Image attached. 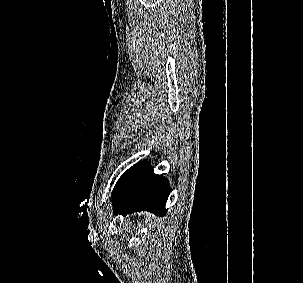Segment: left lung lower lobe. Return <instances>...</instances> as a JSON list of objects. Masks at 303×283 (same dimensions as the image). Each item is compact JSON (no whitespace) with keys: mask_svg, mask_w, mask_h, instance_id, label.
Here are the masks:
<instances>
[{"mask_svg":"<svg viewBox=\"0 0 303 283\" xmlns=\"http://www.w3.org/2000/svg\"><path fill=\"white\" fill-rule=\"evenodd\" d=\"M169 193L167 179L154 174L153 167L141 161L129 168L116 183L112 192L114 213L147 210L164 214Z\"/></svg>","mask_w":303,"mask_h":283,"instance_id":"0a47b994","label":"left lung lower lobe"}]
</instances>
